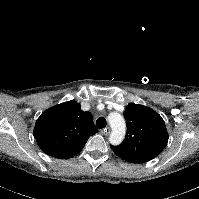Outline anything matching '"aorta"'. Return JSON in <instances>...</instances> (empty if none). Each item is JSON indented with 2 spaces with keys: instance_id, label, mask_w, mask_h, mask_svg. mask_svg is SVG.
<instances>
[{
  "instance_id": "obj_1",
  "label": "aorta",
  "mask_w": 199,
  "mask_h": 199,
  "mask_svg": "<svg viewBox=\"0 0 199 199\" xmlns=\"http://www.w3.org/2000/svg\"><path fill=\"white\" fill-rule=\"evenodd\" d=\"M108 122L112 128L109 141L112 145H119L126 133V123L123 116L117 112L108 115Z\"/></svg>"
}]
</instances>
